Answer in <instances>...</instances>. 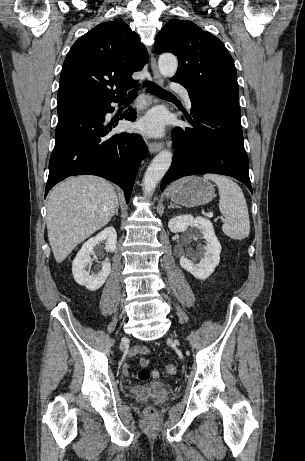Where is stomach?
<instances>
[{
	"label": "stomach",
	"mask_w": 305,
	"mask_h": 461,
	"mask_svg": "<svg viewBox=\"0 0 305 461\" xmlns=\"http://www.w3.org/2000/svg\"><path fill=\"white\" fill-rule=\"evenodd\" d=\"M170 197L175 204L196 207L209 203L215 197V188L207 180L191 176L174 184Z\"/></svg>",
	"instance_id": "1"
}]
</instances>
